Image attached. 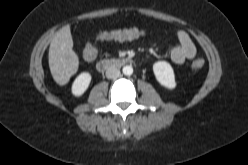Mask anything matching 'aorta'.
I'll list each match as a JSON object with an SVG mask.
<instances>
[{
    "label": "aorta",
    "mask_w": 248,
    "mask_h": 165,
    "mask_svg": "<svg viewBox=\"0 0 248 165\" xmlns=\"http://www.w3.org/2000/svg\"><path fill=\"white\" fill-rule=\"evenodd\" d=\"M122 71H123L124 75L130 76L133 73V68L130 65H126V66L123 67Z\"/></svg>",
    "instance_id": "1"
}]
</instances>
